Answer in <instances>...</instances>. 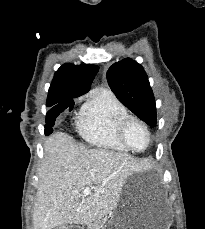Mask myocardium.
Segmentation results:
<instances>
[{
	"label": "myocardium",
	"instance_id": "1",
	"mask_svg": "<svg viewBox=\"0 0 205 229\" xmlns=\"http://www.w3.org/2000/svg\"><path fill=\"white\" fill-rule=\"evenodd\" d=\"M133 123L139 124L144 129V131L146 133L147 144L143 149L134 148L128 141L127 130L130 127V125L133 124ZM119 137H120L122 143L130 151L137 152V153L144 152L145 150H147L148 147L150 146L151 140H152L151 132H150V129H149L148 125L142 119H140L139 117L134 116V115H128L121 121L120 126H119Z\"/></svg>",
	"mask_w": 205,
	"mask_h": 229
}]
</instances>
